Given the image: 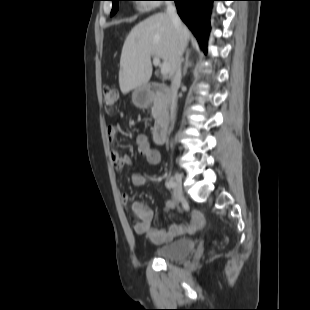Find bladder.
I'll return each instance as SVG.
<instances>
[{
  "mask_svg": "<svg viewBox=\"0 0 310 310\" xmlns=\"http://www.w3.org/2000/svg\"><path fill=\"white\" fill-rule=\"evenodd\" d=\"M194 242L190 239H177L158 247L154 256L165 261H177L187 258L194 250Z\"/></svg>",
  "mask_w": 310,
  "mask_h": 310,
  "instance_id": "31cf9c89",
  "label": "bladder"
}]
</instances>
